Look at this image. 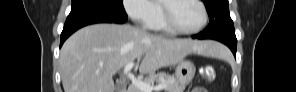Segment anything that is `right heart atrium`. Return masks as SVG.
<instances>
[{
    "label": "right heart atrium",
    "mask_w": 296,
    "mask_h": 92,
    "mask_svg": "<svg viewBox=\"0 0 296 92\" xmlns=\"http://www.w3.org/2000/svg\"><path fill=\"white\" fill-rule=\"evenodd\" d=\"M124 8L133 22L143 26L153 22L158 13L157 3L151 0H126Z\"/></svg>",
    "instance_id": "d8ad5b80"
}]
</instances>
